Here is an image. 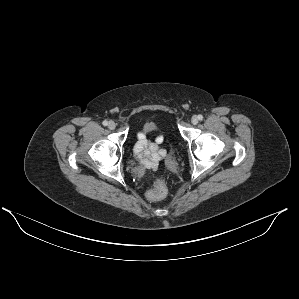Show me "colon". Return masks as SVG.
Listing matches in <instances>:
<instances>
[{
  "label": "colon",
  "instance_id": "5ec220e1",
  "mask_svg": "<svg viewBox=\"0 0 299 299\" xmlns=\"http://www.w3.org/2000/svg\"><path fill=\"white\" fill-rule=\"evenodd\" d=\"M167 194V186L163 179H157L153 187L147 191L146 198L150 201H156L164 198Z\"/></svg>",
  "mask_w": 299,
  "mask_h": 299
}]
</instances>
